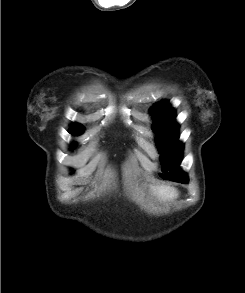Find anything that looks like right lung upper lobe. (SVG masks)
<instances>
[{
	"mask_svg": "<svg viewBox=\"0 0 245 293\" xmlns=\"http://www.w3.org/2000/svg\"><path fill=\"white\" fill-rule=\"evenodd\" d=\"M71 129H83V127L80 124H73Z\"/></svg>",
	"mask_w": 245,
	"mask_h": 293,
	"instance_id": "cb5924a9",
	"label": "right lung upper lobe"
}]
</instances>
